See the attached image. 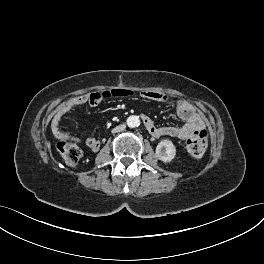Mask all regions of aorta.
Here are the masks:
<instances>
[{
  "label": "aorta",
  "mask_w": 264,
  "mask_h": 264,
  "mask_svg": "<svg viewBox=\"0 0 264 264\" xmlns=\"http://www.w3.org/2000/svg\"><path fill=\"white\" fill-rule=\"evenodd\" d=\"M127 125L130 128H136L140 125V119L136 115L129 116L127 118Z\"/></svg>",
  "instance_id": "obj_1"
}]
</instances>
